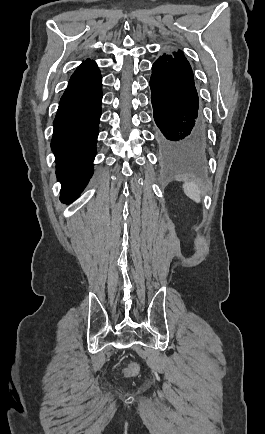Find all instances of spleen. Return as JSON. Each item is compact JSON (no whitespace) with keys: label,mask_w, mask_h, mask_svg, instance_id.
<instances>
[{"label":"spleen","mask_w":265,"mask_h":434,"mask_svg":"<svg viewBox=\"0 0 265 434\" xmlns=\"http://www.w3.org/2000/svg\"><path fill=\"white\" fill-rule=\"evenodd\" d=\"M183 190H184V194H186V196H188V198H191V200H194V202H197V204H199V202H201V198H200V190L197 186V184H194V182H189V184H184L183 186Z\"/></svg>","instance_id":"obj_1"}]
</instances>
